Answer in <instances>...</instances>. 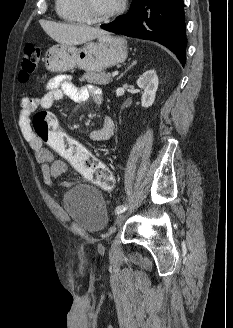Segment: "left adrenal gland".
I'll use <instances>...</instances> for the list:
<instances>
[{"label":"left adrenal gland","mask_w":233,"mask_h":328,"mask_svg":"<svg viewBox=\"0 0 233 328\" xmlns=\"http://www.w3.org/2000/svg\"><path fill=\"white\" fill-rule=\"evenodd\" d=\"M137 61H134L118 78L117 80L121 79V77H123V75L129 70L131 69V67H133L134 65H136Z\"/></svg>","instance_id":"1"}]
</instances>
